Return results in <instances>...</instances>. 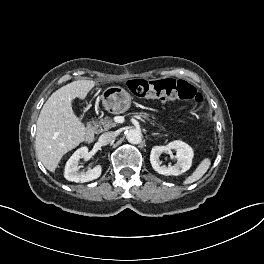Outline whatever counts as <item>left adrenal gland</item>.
Listing matches in <instances>:
<instances>
[{
  "label": "left adrenal gland",
  "instance_id": "left-adrenal-gland-1",
  "mask_svg": "<svg viewBox=\"0 0 264 264\" xmlns=\"http://www.w3.org/2000/svg\"><path fill=\"white\" fill-rule=\"evenodd\" d=\"M152 135H153V136H154V135H159V133H153Z\"/></svg>",
  "mask_w": 264,
  "mask_h": 264
}]
</instances>
